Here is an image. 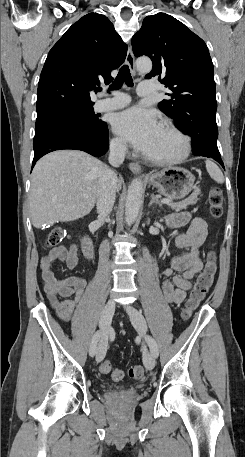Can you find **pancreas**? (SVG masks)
<instances>
[{
  "label": "pancreas",
  "mask_w": 245,
  "mask_h": 457,
  "mask_svg": "<svg viewBox=\"0 0 245 457\" xmlns=\"http://www.w3.org/2000/svg\"><path fill=\"white\" fill-rule=\"evenodd\" d=\"M194 190L191 192L190 196L188 198H185V200H180V202H166L168 206H171V208H174V210H181V208H187L188 204H196L198 198V194H201V190L199 186H193Z\"/></svg>",
  "instance_id": "pancreas-1"
}]
</instances>
